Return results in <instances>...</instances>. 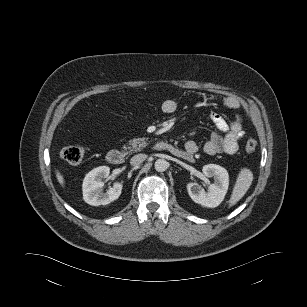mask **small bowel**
<instances>
[{
  "mask_svg": "<svg viewBox=\"0 0 307 307\" xmlns=\"http://www.w3.org/2000/svg\"><path fill=\"white\" fill-rule=\"evenodd\" d=\"M223 106L234 112V118L229 123L221 113L211 111L210 118L218 132L213 133L203 145V151L209 155L236 153L239 140L244 134L239 101L233 97H226L223 100ZM161 108L164 113L171 114L176 111L177 104L174 100L168 99L162 103ZM198 151L199 145L193 140L187 141L183 149L175 148V154L186 159L192 158Z\"/></svg>",
  "mask_w": 307,
  "mask_h": 307,
  "instance_id": "c3829d8e",
  "label": "small bowel"
}]
</instances>
